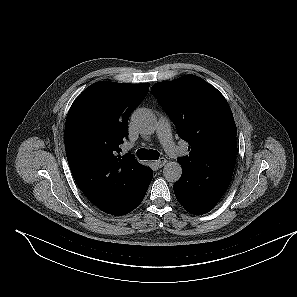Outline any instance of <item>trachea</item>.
I'll return each instance as SVG.
<instances>
[{
    "label": "trachea",
    "instance_id": "trachea-1",
    "mask_svg": "<svg viewBox=\"0 0 297 297\" xmlns=\"http://www.w3.org/2000/svg\"><path fill=\"white\" fill-rule=\"evenodd\" d=\"M137 156L140 160H158L160 154L156 150L142 148L137 151Z\"/></svg>",
    "mask_w": 297,
    "mask_h": 297
}]
</instances>
